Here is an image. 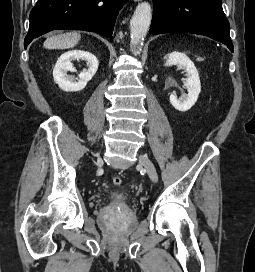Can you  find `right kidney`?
<instances>
[{
	"label": "right kidney",
	"mask_w": 255,
	"mask_h": 272,
	"mask_svg": "<svg viewBox=\"0 0 255 272\" xmlns=\"http://www.w3.org/2000/svg\"><path fill=\"white\" fill-rule=\"evenodd\" d=\"M82 59L87 63V69L83 70L79 74L78 82L75 81L73 76H68L67 72H75L72 60ZM98 60L90 52L83 50H72L63 53L57 60L56 65L53 69V78L56 84L67 92L81 91L85 88L87 83L92 79L98 69Z\"/></svg>",
	"instance_id": "right-kidney-1"
}]
</instances>
